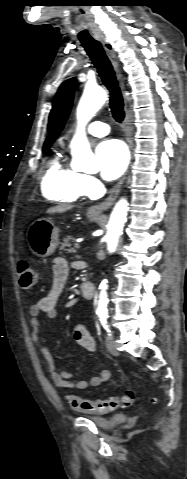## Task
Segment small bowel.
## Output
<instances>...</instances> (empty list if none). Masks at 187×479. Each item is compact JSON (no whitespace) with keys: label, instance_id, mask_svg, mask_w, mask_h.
<instances>
[{"label":"small bowel","instance_id":"small-bowel-1","mask_svg":"<svg viewBox=\"0 0 187 479\" xmlns=\"http://www.w3.org/2000/svg\"><path fill=\"white\" fill-rule=\"evenodd\" d=\"M76 267H81L80 263H74ZM70 271V263L63 257H57L53 261V281L49 292L41 297L35 304L30 307V328L31 338L34 344L43 353L47 369L52 379L54 386L59 390L77 389L84 390L88 387L98 386L110 379L111 374L108 370H101L98 375L86 380L73 381L75 374L72 372L57 370L52 356L46 345L41 339V323L39 316L45 314L48 318H56L58 316L57 304L63 293ZM73 337L76 342L82 346L88 353L96 351V344L94 339L89 334L86 326L82 323H77L73 328Z\"/></svg>","mask_w":187,"mask_h":479}]
</instances>
